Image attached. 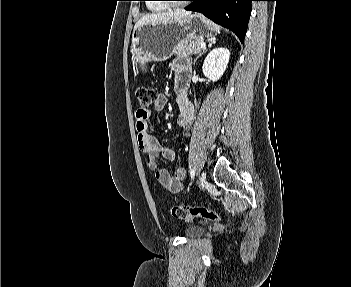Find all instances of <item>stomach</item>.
Segmentation results:
<instances>
[{"mask_svg":"<svg viewBox=\"0 0 351 287\" xmlns=\"http://www.w3.org/2000/svg\"><path fill=\"white\" fill-rule=\"evenodd\" d=\"M219 27L200 14H192L177 22L146 24L134 30L132 50L136 64L142 69L146 63L168 60L177 44L191 39L211 38Z\"/></svg>","mask_w":351,"mask_h":287,"instance_id":"1","label":"stomach"}]
</instances>
